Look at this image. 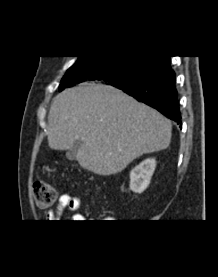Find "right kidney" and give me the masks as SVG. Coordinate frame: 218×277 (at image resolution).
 I'll return each instance as SVG.
<instances>
[{
    "label": "right kidney",
    "mask_w": 218,
    "mask_h": 277,
    "mask_svg": "<svg viewBox=\"0 0 218 277\" xmlns=\"http://www.w3.org/2000/svg\"><path fill=\"white\" fill-rule=\"evenodd\" d=\"M155 167L156 160L149 158L133 168L130 172V189L136 193H142L150 184Z\"/></svg>",
    "instance_id": "right-kidney-1"
}]
</instances>
